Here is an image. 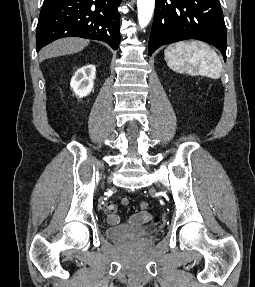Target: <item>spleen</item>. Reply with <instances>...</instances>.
<instances>
[{
	"label": "spleen",
	"instance_id": "1",
	"mask_svg": "<svg viewBox=\"0 0 255 287\" xmlns=\"http://www.w3.org/2000/svg\"><path fill=\"white\" fill-rule=\"evenodd\" d=\"M164 56L171 70L181 72L188 66L193 72H199L201 76H208L212 80H218L221 76L222 64L219 56L203 42L171 44L166 48Z\"/></svg>",
	"mask_w": 255,
	"mask_h": 287
}]
</instances>
